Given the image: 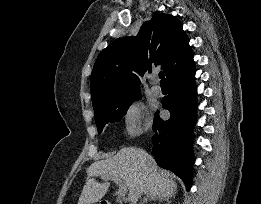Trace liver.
Wrapping results in <instances>:
<instances>
[{
  "label": "liver",
  "mask_w": 261,
  "mask_h": 204,
  "mask_svg": "<svg viewBox=\"0 0 261 204\" xmlns=\"http://www.w3.org/2000/svg\"><path fill=\"white\" fill-rule=\"evenodd\" d=\"M87 178L78 204H94L107 193L110 183H99L95 177L121 179L128 188V200L136 192L169 199L175 196L177 185L169 173L160 171L154 158L136 147H124L113 157L95 161L86 170Z\"/></svg>",
  "instance_id": "1"
}]
</instances>
